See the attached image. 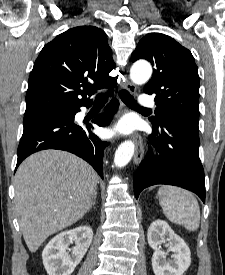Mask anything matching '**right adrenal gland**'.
Wrapping results in <instances>:
<instances>
[{"label": "right adrenal gland", "instance_id": "right-adrenal-gland-1", "mask_svg": "<svg viewBox=\"0 0 225 275\" xmlns=\"http://www.w3.org/2000/svg\"><path fill=\"white\" fill-rule=\"evenodd\" d=\"M96 198H97V190L95 191V193H94V195H93V198H92V201H91L89 210L92 208V206L95 205V203H96Z\"/></svg>", "mask_w": 225, "mask_h": 275}]
</instances>
